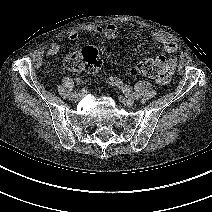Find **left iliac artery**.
I'll return each instance as SVG.
<instances>
[{
  "label": "left iliac artery",
  "mask_w": 212,
  "mask_h": 212,
  "mask_svg": "<svg viewBox=\"0 0 212 212\" xmlns=\"http://www.w3.org/2000/svg\"><path fill=\"white\" fill-rule=\"evenodd\" d=\"M109 82L113 85H116V86H119V87L121 86L123 88V92H125L127 96H130L134 99H138V95H136L132 90H130L128 87L122 86L123 83H122V81H120V79L111 77L109 79Z\"/></svg>",
  "instance_id": "1"
}]
</instances>
